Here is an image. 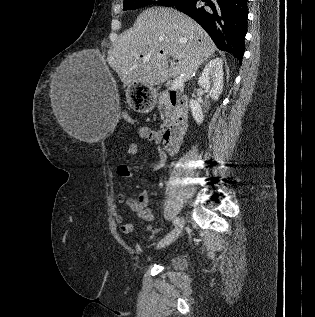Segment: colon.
<instances>
[{
	"mask_svg": "<svg viewBox=\"0 0 315 317\" xmlns=\"http://www.w3.org/2000/svg\"><path fill=\"white\" fill-rule=\"evenodd\" d=\"M123 119H124L126 122H128V123H130V124H132V125L135 124L134 119H133L130 115H128L127 113H125V114L123 115ZM139 204H140V203L137 202V201H135V200L131 201V206H132L133 208H136L137 210H138V208H139ZM141 215H142V217H143L144 219H146V220H149V219L151 218L150 213H149L147 210H145V209H143V210L141 211Z\"/></svg>",
	"mask_w": 315,
	"mask_h": 317,
	"instance_id": "colon-1",
	"label": "colon"
}]
</instances>
